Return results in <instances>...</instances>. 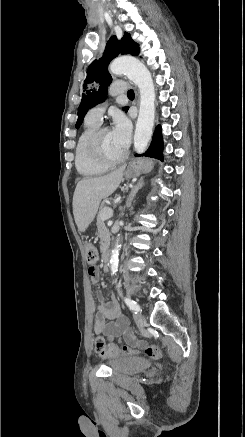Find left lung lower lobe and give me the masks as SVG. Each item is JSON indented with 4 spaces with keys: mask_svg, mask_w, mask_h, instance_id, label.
<instances>
[{
    "mask_svg": "<svg viewBox=\"0 0 245 437\" xmlns=\"http://www.w3.org/2000/svg\"><path fill=\"white\" fill-rule=\"evenodd\" d=\"M163 139L161 127L158 125L153 135V140L148 150L142 156L157 158L163 160ZM140 156V155H135Z\"/></svg>",
    "mask_w": 245,
    "mask_h": 437,
    "instance_id": "left-lung-lower-lobe-1",
    "label": "left lung lower lobe"
}]
</instances>
